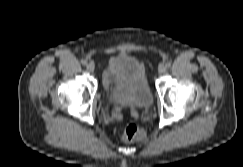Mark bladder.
<instances>
[{"mask_svg": "<svg viewBox=\"0 0 243 167\" xmlns=\"http://www.w3.org/2000/svg\"><path fill=\"white\" fill-rule=\"evenodd\" d=\"M107 74L113 85L107 92L109 102L134 104L141 109L152 106L154 96L148 73L137 57L118 54L111 60Z\"/></svg>", "mask_w": 243, "mask_h": 167, "instance_id": "1", "label": "bladder"}]
</instances>
